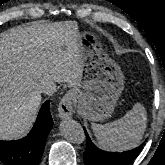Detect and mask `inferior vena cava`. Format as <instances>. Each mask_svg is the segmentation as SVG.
<instances>
[{
    "label": "inferior vena cava",
    "mask_w": 165,
    "mask_h": 165,
    "mask_svg": "<svg viewBox=\"0 0 165 165\" xmlns=\"http://www.w3.org/2000/svg\"><path fill=\"white\" fill-rule=\"evenodd\" d=\"M55 91H56V85L54 82L46 81L43 83L41 92H43L44 94L48 96H51L55 93Z\"/></svg>",
    "instance_id": "obj_1"
}]
</instances>
